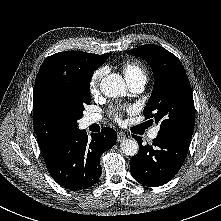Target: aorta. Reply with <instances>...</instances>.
<instances>
[{"instance_id": "aorta-1", "label": "aorta", "mask_w": 221, "mask_h": 221, "mask_svg": "<svg viewBox=\"0 0 221 221\" xmlns=\"http://www.w3.org/2000/svg\"><path fill=\"white\" fill-rule=\"evenodd\" d=\"M101 92L107 97H120L126 94L124 79L118 74H110L104 77L100 83ZM120 149L127 156L137 154L139 146L135 139H125L120 144Z\"/></svg>"}]
</instances>
